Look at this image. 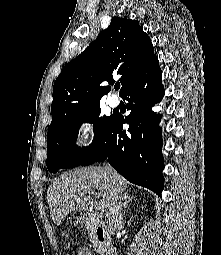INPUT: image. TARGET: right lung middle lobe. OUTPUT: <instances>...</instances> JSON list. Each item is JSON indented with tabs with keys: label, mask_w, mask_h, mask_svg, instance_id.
I'll return each instance as SVG.
<instances>
[{
	"label": "right lung middle lobe",
	"mask_w": 221,
	"mask_h": 255,
	"mask_svg": "<svg viewBox=\"0 0 221 255\" xmlns=\"http://www.w3.org/2000/svg\"><path fill=\"white\" fill-rule=\"evenodd\" d=\"M113 115H101L100 104L96 103L66 116L47 136V168L56 173L60 168L80 166L99 143ZM93 123L94 140L87 146L76 145L78 130L82 123Z\"/></svg>",
	"instance_id": "right-lung-middle-lobe-1"
}]
</instances>
